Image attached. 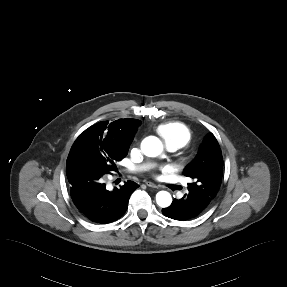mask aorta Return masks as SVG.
I'll list each match as a JSON object with an SVG mask.
<instances>
[{
  "mask_svg": "<svg viewBox=\"0 0 287 287\" xmlns=\"http://www.w3.org/2000/svg\"><path fill=\"white\" fill-rule=\"evenodd\" d=\"M141 150L148 157H156L163 151L162 142L155 136L146 137L141 143ZM156 202L162 207H168L172 203L171 194L167 191H159L156 194Z\"/></svg>",
  "mask_w": 287,
  "mask_h": 287,
  "instance_id": "aorta-1",
  "label": "aorta"
}]
</instances>
